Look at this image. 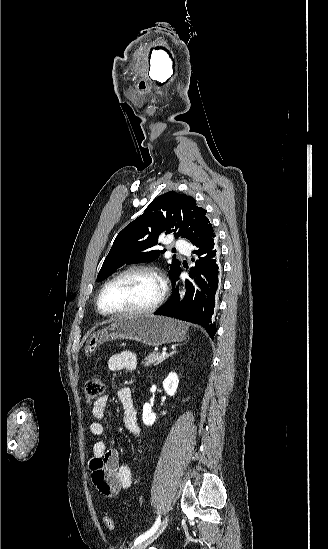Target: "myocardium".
Segmentation results:
<instances>
[{
    "mask_svg": "<svg viewBox=\"0 0 328 549\" xmlns=\"http://www.w3.org/2000/svg\"><path fill=\"white\" fill-rule=\"evenodd\" d=\"M160 268H162L160 265L156 263H151V262H136V263H132L124 266L113 277H111L101 288L97 298L96 307L98 312L105 317L115 318V319H120V318H125L130 316H143V315H149V314L155 313L159 309L162 302L164 301L167 294V290H168L166 280L161 274V272L159 271ZM132 271H144L146 273H149L159 282L160 290L156 299L145 307L128 309L124 311H114L105 307L103 303V298L107 289L120 277Z\"/></svg>",
    "mask_w": 328,
    "mask_h": 549,
    "instance_id": "f54148a6",
    "label": "myocardium"
}]
</instances>
